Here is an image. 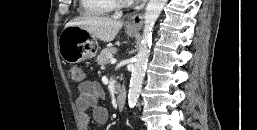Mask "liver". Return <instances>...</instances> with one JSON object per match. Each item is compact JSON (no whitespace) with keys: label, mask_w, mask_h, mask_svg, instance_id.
I'll list each match as a JSON object with an SVG mask.
<instances>
[{"label":"liver","mask_w":257,"mask_h":130,"mask_svg":"<svg viewBox=\"0 0 257 130\" xmlns=\"http://www.w3.org/2000/svg\"><path fill=\"white\" fill-rule=\"evenodd\" d=\"M66 26H79L103 42H111L123 26V22L107 17L81 16L69 21Z\"/></svg>","instance_id":"1"}]
</instances>
